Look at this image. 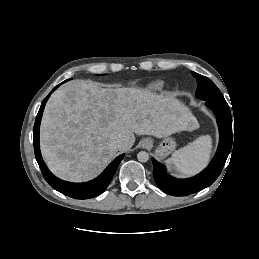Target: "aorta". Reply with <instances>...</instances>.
<instances>
[{
	"label": "aorta",
	"mask_w": 259,
	"mask_h": 259,
	"mask_svg": "<svg viewBox=\"0 0 259 259\" xmlns=\"http://www.w3.org/2000/svg\"><path fill=\"white\" fill-rule=\"evenodd\" d=\"M137 159L140 162H147L149 160V154L147 152H145V151H140L137 154Z\"/></svg>",
	"instance_id": "762f6f07"
}]
</instances>
